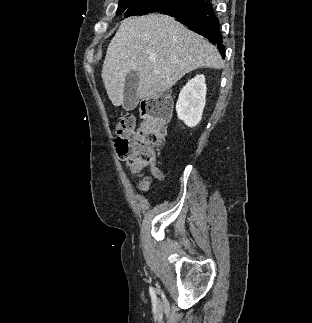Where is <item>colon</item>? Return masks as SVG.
Wrapping results in <instances>:
<instances>
[{"label":"colon","instance_id":"obj_1","mask_svg":"<svg viewBox=\"0 0 312 323\" xmlns=\"http://www.w3.org/2000/svg\"><path fill=\"white\" fill-rule=\"evenodd\" d=\"M164 100L157 96L152 101L146 119L140 125L135 124V117L126 113L117 118L116 122V158H129L130 168L152 167L155 150L165 139L167 118L161 110Z\"/></svg>","mask_w":312,"mask_h":323}]
</instances>
